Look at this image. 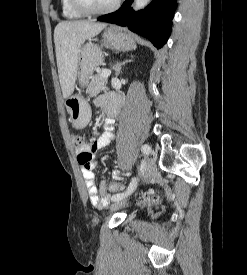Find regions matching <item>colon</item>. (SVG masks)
Wrapping results in <instances>:
<instances>
[{"label":"colon","mask_w":247,"mask_h":275,"mask_svg":"<svg viewBox=\"0 0 247 275\" xmlns=\"http://www.w3.org/2000/svg\"><path fill=\"white\" fill-rule=\"evenodd\" d=\"M72 143L76 148H80L81 146L84 145V139L81 135H73L72 136ZM122 185L120 183L114 182L111 183L108 186V191L110 193H118L122 190ZM161 199V194L160 192L156 191V190H148L144 193H142L141 195V202L147 205H151V204H156L160 201Z\"/></svg>","instance_id":"1"}]
</instances>
